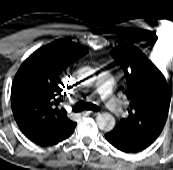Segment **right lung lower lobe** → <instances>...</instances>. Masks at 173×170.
<instances>
[{"mask_svg":"<svg viewBox=\"0 0 173 170\" xmlns=\"http://www.w3.org/2000/svg\"><path fill=\"white\" fill-rule=\"evenodd\" d=\"M75 126H73L69 130L63 132L61 135H59V136H57L53 139H50V140H47V141H44V142H34V143H36L40 146H49V145L57 144V143L65 140L66 138H68L73 133Z\"/></svg>","mask_w":173,"mask_h":170,"instance_id":"right-lung-lower-lobe-1","label":"right lung lower lobe"}]
</instances>
